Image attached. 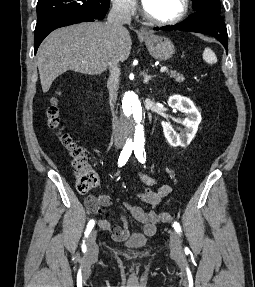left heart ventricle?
I'll return each instance as SVG.
<instances>
[{"instance_id": "obj_1", "label": "left heart ventricle", "mask_w": 255, "mask_h": 287, "mask_svg": "<svg viewBox=\"0 0 255 287\" xmlns=\"http://www.w3.org/2000/svg\"><path fill=\"white\" fill-rule=\"evenodd\" d=\"M127 33V32H123ZM149 33H169V32H149ZM121 39H127V38H121ZM152 39H166V38H152ZM151 48H165V47H151Z\"/></svg>"}]
</instances>
